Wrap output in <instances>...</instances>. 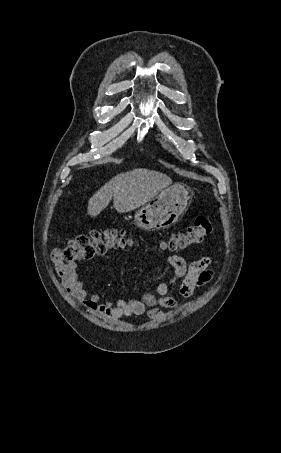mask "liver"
<instances>
[{
	"mask_svg": "<svg viewBox=\"0 0 281 453\" xmlns=\"http://www.w3.org/2000/svg\"><path fill=\"white\" fill-rule=\"evenodd\" d=\"M168 184H172L170 176L158 170L133 168L129 172H120L92 194L88 200V214H100L101 210L108 206L112 196L117 212L134 210L149 202Z\"/></svg>",
	"mask_w": 281,
	"mask_h": 453,
	"instance_id": "obj_1",
	"label": "liver"
}]
</instances>
